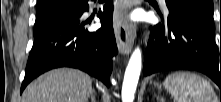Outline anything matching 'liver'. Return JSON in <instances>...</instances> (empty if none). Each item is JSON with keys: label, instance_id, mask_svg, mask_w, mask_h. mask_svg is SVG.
Returning a JSON list of instances; mask_svg holds the SVG:
<instances>
[{"label": "liver", "instance_id": "obj_1", "mask_svg": "<svg viewBox=\"0 0 221 102\" xmlns=\"http://www.w3.org/2000/svg\"><path fill=\"white\" fill-rule=\"evenodd\" d=\"M92 91V79L79 70H51L25 89L22 102H87Z\"/></svg>", "mask_w": 221, "mask_h": 102}]
</instances>
